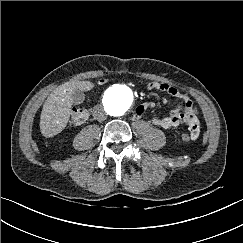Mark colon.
I'll return each instance as SVG.
<instances>
[{
    "label": "colon",
    "mask_w": 243,
    "mask_h": 243,
    "mask_svg": "<svg viewBox=\"0 0 243 243\" xmlns=\"http://www.w3.org/2000/svg\"><path fill=\"white\" fill-rule=\"evenodd\" d=\"M101 82H104V80H101ZM89 109L85 107H77L74 108L71 112L70 116V124L77 126L83 124L89 117ZM182 139L184 141H191L192 136L190 133H183Z\"/></svg>",
    "instance_id": "1"
}]
</instances>
